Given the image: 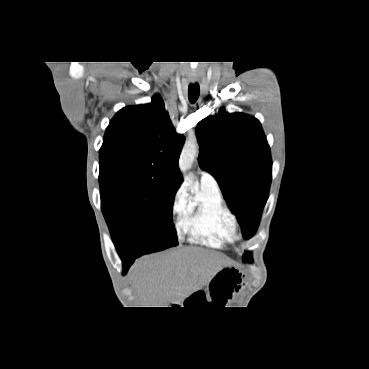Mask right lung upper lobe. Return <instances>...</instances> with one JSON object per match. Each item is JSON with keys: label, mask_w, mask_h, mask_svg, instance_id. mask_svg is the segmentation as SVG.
<instances>
[{"label": "right lung upper lobe", "mask_w": 369, "mask_h": 369, "mask_svg": "<svg viewBox=\"0 0 369 369\" xmlns=\"http://www.w3.org/2000/svg\"><path fill=\"white\" fill-rule=\"evenodd\" d=\"M185 137L178 135L159 96L122 108L106 128L100 171L133 173L156 186L177 190L183 181L178 159Z\"/></svg>", "instance_id": "1"}]
</instances>
